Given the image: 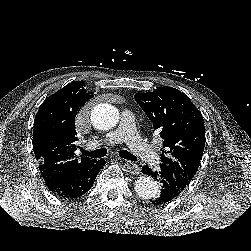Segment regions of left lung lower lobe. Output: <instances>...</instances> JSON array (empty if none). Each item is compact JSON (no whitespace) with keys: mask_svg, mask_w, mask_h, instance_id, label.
I'll use <instances>...</instances> for the list:
<instances>
[{"mask_svg":"<svg viewBox=\"0 0 251 251\" xmlns=\"http://www.w3.org/2000/svg\"><path fill=\"white\" fill-rule=\"evenodd\" d=\"M142 172L160 180L162 189L159 194L153 198L155 204H163L177 197L182 190L188 185L189 181L175 173L166 166L160 165V170L152 171L147 165L143 166Z\"/></svg>","mask_w":251,"mask_h":251,"instance_id":"0a47b994","label":"left lung lower lobe"}]
</instances>
